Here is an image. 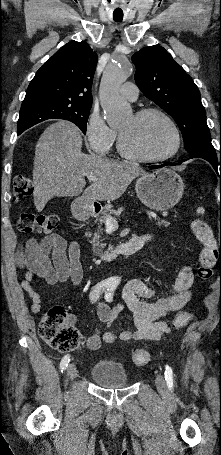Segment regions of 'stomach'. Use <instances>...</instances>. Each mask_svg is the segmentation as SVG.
Here are the masks:
<instances>
[{
    "instance_id": "0dacf381",
    "label": "stomach",
    "mask_w": 221,
    "mask_h": 455,
    "mask_svg": "<svg viewBox=\"0 0 221 455\" xmlns=\"http://www.w3.org/2000/svg\"><path fill=\"white\" fill-rule=\"evenodd\" d=\"M184 188L180 175L167 168L142 175L135 184V191L140 201L157 211L174 207L182 198ZM83 213L88 216L87 207L84 208Z\"/></svg>"
}]
</instances>
